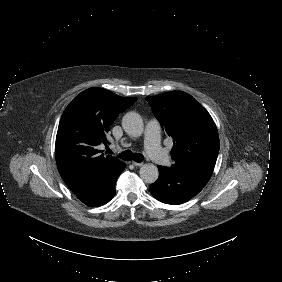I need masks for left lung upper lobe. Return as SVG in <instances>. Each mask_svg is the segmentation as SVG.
I'll return each mask as SVG.
<instances>
[{
    "label": "left lung upper lobe",
    "instance_id": "obj_1",
    "mask_svg": "<svg viewBox=\"0 0 282 282\" xmlns=\"http://www.w3.org/2000/svg\"><path fill=\"white\" fill-rule=\"evenodd\" d=\"M155 116L173 140L172 167L214 168L219 152L216 125L206 109L181 91L146 97Z\"/></svg>",
    "mask_w": 282,
    "mask_h": 282
}]
</instances>
